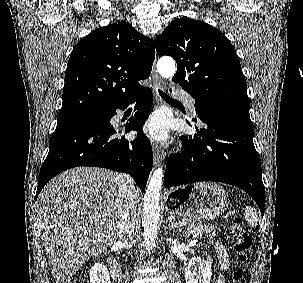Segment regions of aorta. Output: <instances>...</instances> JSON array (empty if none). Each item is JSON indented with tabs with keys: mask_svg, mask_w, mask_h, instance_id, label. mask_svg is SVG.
Listing matches in <instances>:
<instances>
[{
	"mask_svg": "<svg viewBox=\"0 0 303 283\" xmlns=\"http://www.w3.org/2000/svg\"><path fill=\"white\" fill-rule=\"evenodd\" d=\"M157 70L164 78H171L176 72L175 62L171 57H162L157 63ZM163 169L157 168L147 185L143 203V238L146 250L155 242L160 215V193L162 188Z\"/></svg>",
	"mask_w": 303,
	"mask_h": 283,
	"instance_id": "aorta-1",
	"label": "aorta"
}]
</instances>
